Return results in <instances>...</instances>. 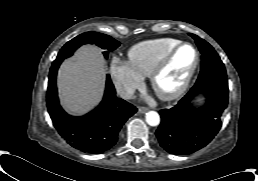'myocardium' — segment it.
<instances>
[{
  "instance_id": "1",
  "label": "myocardium",
  "mask_w": 258,
  "mask_h": 181,
  "mask_svg": "<svg viewBox=\"0 0 258 181\" xmlns=\"http://www.w3.org/2000/svg\"><path fill=\"white\" fill-rule=\"evenodd\" d=\"M184 46H189L193 49L195 53V61L188 73L186 74L184 80L182 83L174 90L170 92L162 91L158 88V79L161 76V74L164 72V70L171 64L173 58L177 54V52ZM200 63V56L199 51L196 48L195 45L189 42H180L175 47H173L170 51H168L156 64L154 69L152 70L150 74V83L152 86V89L156 93V95L165 101L174 100L178 97H180L188 88L194 74L196 73V70Z\"/></svg>"
}]
</instances>
